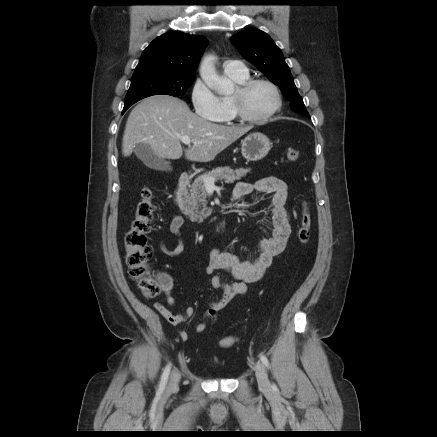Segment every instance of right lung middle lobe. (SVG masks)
<instances>
[{
	"instance_id": "obj_1",
	"label": "right lung middle lobe",
	"mask_w": 437,
	"mask_h": 437,
	"mask_svg": "<svg viewBox=\"0 0 437 437\" xmlns=\"http://www.w3.org/2000/svg\"><path fill=\"white\" fill-rule=\"evenodd\" d=\"M194 78L195 76L171 75L156 69L134 72L122 113L137 101L148 96L165 94L177 97L184 95Z\"/></svg>"
}]
</instances>
